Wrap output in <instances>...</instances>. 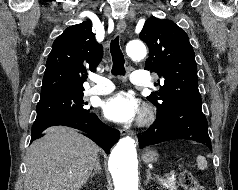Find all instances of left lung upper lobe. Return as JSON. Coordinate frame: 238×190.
<instances>
[{
  "label": "left lung upper lobe",
  "instance_id": "1",
  "mask_svg": "<svg viewBox=\"0 0 238 190\" xmlns=\"http://www.w3.org/2000/svg\"><path fill=\"white\" fill-rule=\"evenodd\" d=\"M139 36L150 50L145 69L161 78L159 92L147 97L157 111L182 104L201 105L195 54L185 31L170 20L150 17Z\"/></svg>",
  "mask_w": 238,
  "mask_h": 190
}]
</instances>
